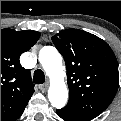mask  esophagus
I'll use <instances>...</instances> for the list:
<instances>
[{
    "mask_svg": "<svg viewBox=\"0 0 121 121\" xmlns=\"http://www.w3.org/2000/svg\"><path fill=\"white\" fill-rule=\"evenodd\" d=\"M48 89V83H44L43 85L40 86V90L42 92H46Z\"/></svg>",
    "mask_w": 121,
    "mask_h": 121,
    "instance_id": "esophagus-1",
    "label": "esophagus"
}]
</instances>
